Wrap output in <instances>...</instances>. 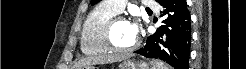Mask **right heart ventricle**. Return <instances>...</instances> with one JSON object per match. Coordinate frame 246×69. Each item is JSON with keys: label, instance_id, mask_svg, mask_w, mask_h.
Here are the masks:
<instances>
[{"label": "right heart ventricle", "instance_id": "right-heart-ventricle-1", "mask_svg": "<svg viewBox=\"0 0 246 69\" xmlns=\"http://www.w3.org/2000/svg\"><path fill=\"white\" fill-rule=\"evenodd\" d=\"M115 15L117 13L106 2H102L88 14L81 36V50L84 54L105 55L110 52L105 41V30Z\"/></svg>", "mask_w": 246, "mask_h": 69}]
</instances>
